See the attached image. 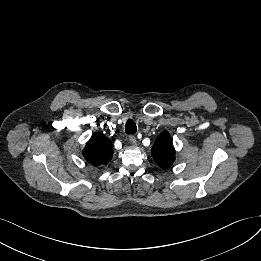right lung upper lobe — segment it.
Masks as SVG:
<instances>
[{
	"instance_id": "cb5924a9",
	"label": "right lung upper lobe",
	"mask_w": 261,
	"mask_h": 261,
	"mask_svg": "<svg viewBox=\"0 0 261 261\" xmlns=\"http://www.w3.org/2000/svg\"><path fill=\"white\" fill-rule=\"evenodd\" d=\"M85 159L94 166L108 163L113 157V145L102 133H94L83 151Z\"/></svg>"
}]
</instances>
